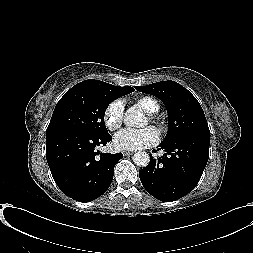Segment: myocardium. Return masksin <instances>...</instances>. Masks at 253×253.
I'll use <instances>...</instances> for the list:
<instances>
[{"label": "myocardium", "mask_w": 253, "mask_h": 253, "mask_svg": "<svg viewBox=\"0 0 253 253\" xmlns=\"http://www.w3.org/2000/svg\"><path fill=\"white\" fill-rule=\"evenodd\" d=\"M148 120L153 123L158 129L162 130L164 128V121L156 114H147Z\"/></svg>", "instance_id": "obj_1"}]
</instances>
